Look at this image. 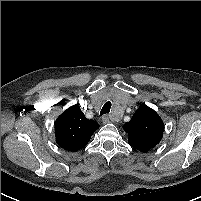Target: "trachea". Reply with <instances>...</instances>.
I'll use <instances>...</instances> for the list:
<instances>
[{
    "label": "trachea",
    "mask_w": 201,
    "mask_h": 201,
    "mask_svg": "<svg viewBox=\"0 0 201 201\" xmlns=\"http://www.w3.org/2000/svg\"><path fill=\"white\" fill-rule=\"evenodd\" d=\"M112 103L110 101L106 102L101 109L100 115L108 114L110 112Z\"/></svg>",
    "instance_id": "1"
}]
</instances>
